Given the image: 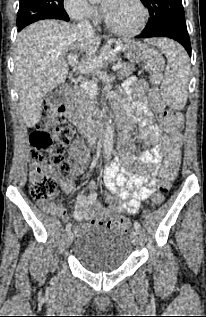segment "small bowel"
<instances>
[{
  "mask_svg": "<svg viewBox=\"0 0 206 317\" xmlns=\"http://www.w3.org/2000/svg\"><path fill=\"white\" fill-rule=\"evenodd\" d=\"M124 90L129 96L131 108L127 110L122 121L119 156L109 164L104 176L106 187L116 195V199L107 197L108 206L102 207L95 192L86 193L96 188L95 183H90L76 196L74 218L77 221L86 220L92 225L101 226L115 215L135 214L140 208L141 201L156 191L155 176L162 159L173 151H179L181 147L180 134L164 132L154 123V113H161L164 108L158 89H149L145 81L130 77L125 82ZM146 92L148 101L145 97ZM134 128L137 130L136 138L150 145V150L143 151L137 148L131 138ZM70 154L79 162L86 158V152L80 143H74L70 147ZM52 173L55 175L54 171ZM58 181L65 193L69 196L74 194V185L70 179L58 178ZM39 204L43 210L59 217L63 222L69 220L62 204L49 200L40 201ZM84 230V224L76 227L77 232Z\"/></svg>",
  "mask_w": 206,
  "mask_h": 317,
  "instance_id": "1",
  "label": "small bowel"
}]
</instances>
